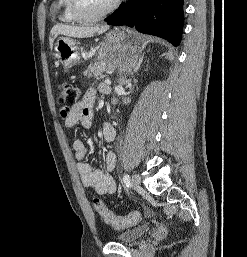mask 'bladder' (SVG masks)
I'll return each instance as SVG.
<instances>
[{
	"instance_id": "1",
	"label": "bladder",
	"mask_w": 247,
	"mask_h": 257,
	"mask_svg": "<svg viewBox=\"0 0 247 257\" xmlns=\"http://www.w3.org/2000/svg\"><path fill=\"white\" fill-rule=\"evenodd\" d=\"M150 231L149 225H139L133 228H130L122 233L118 234L115 239L116 241L123 243V244H133L144 236L148 234Z\"/></svg>"
}]
</instances>
